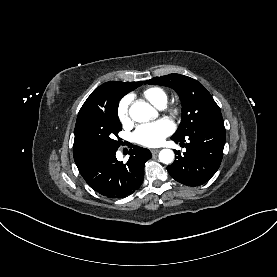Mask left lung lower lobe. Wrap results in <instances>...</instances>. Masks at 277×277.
Instances as JSON below:
<instances>
[{
	"mask_svg": "<svg viewBox=\"0 0 277 277\" xmlns=\"http://www.w3.org/2000/svg\"><path fill=\"white\" fill-rule=\"evenodd\" d=\"M226 131L223 118H217L201 124L186 138V152L183 155L175 151L177 157L167 167L170 176L187 186H199L207 182L218 170L225 144ZM185 142L184 139H172Z\"/></svg>",
	"mask_w": 277,
	"mask_h": 277,
	"instance_id": "left-lung-lower-lobe-1",
	"label": "left lung lower lobe"
}]
</instances>
